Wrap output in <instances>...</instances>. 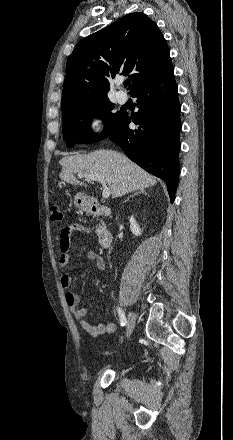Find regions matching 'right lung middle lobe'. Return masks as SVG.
<instances>
[{"label": "right lung middle lobe", "mask_w": 233, "mask_h": 440, "mask_svg": "<svg viewBox=\"0 0 233 440\" xmlns=\"http://www.w3.org/2000/svg\"><path fill=\"white\" fill-rule=\"evenodd\" d=\"M114 104L108 97L97 98L62 108L63 136L67 147L74 143L89 144L98 142L110 135L120 123L124 112L111 113ZM103 119L105 129L96 136L90 128L93 117Z\"/></svg>", "instance_id": "obj_1"}]
</instances>
